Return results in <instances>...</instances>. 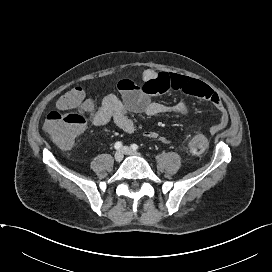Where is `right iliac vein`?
I'll use <instances>...</instances> for the list:
<instances>
[{"mask_svg":"<svg viewBox=\"0 0 272 272\" xmlns=\"http://www.w3.org/2000/svg\"><path fill=\"white\" fill-rule=\"evenodd\" d=\"M123 152L121 150L117 151L114 155V159L117 162H121L123 160Z\"/></svg>","mask_w":272,"mask_h":272,"instance_id":"right-iliac-vein-1","label":"right iliac vein"}]
</instances>
